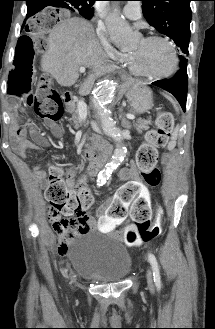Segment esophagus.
Returning a JSON list of instances; mask_svg holds the SVG:
<instances>
[{
	"label": "esophagus",
	"mask_w": 215,
	"mask_h": 329,
	"mask_svg": "<svg viewBox=\"0 0 215 329\" xmlns=\"http://www.w3.org/2000/svg\"><path fill=\"white\" fill-rule=\"evenodd\" d=\"M122 78L126 81H128L130 79V77L125 73H122Z\"/></svg>",
	"instance_id": "1"
}]
</instances>
